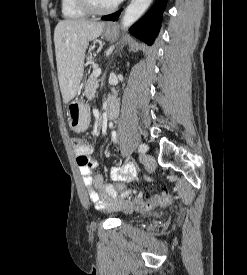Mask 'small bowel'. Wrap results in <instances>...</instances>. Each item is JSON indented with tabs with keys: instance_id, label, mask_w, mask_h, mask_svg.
<instances>
[{
	"instance_id": "small-bowel-1",
	"label": "small bowel",
	"mask_w": 247,
	"mask_h": 275,
	"mask_svg": "<svg viewBox=\"0 0 247 275\" xmlns=\"http://www.w3.org/2000/svg\"><path fill=\"white\" fill-rule=\"evenodd\" d=\"M113 136V135H112ZM92 148L84 145L76 151L77 164L82 175L88 195L94 205L101 210L108 208L129 209L131 203L122 200L116 193L113 186L105 183L100 175H95L93 170L97 166V161L92 157ZM83 157L85 160H83ZM111 177L116 184H126L136 177V170L133 165L116 166L111 170Z\"/></svg>"
}]
</instances>
